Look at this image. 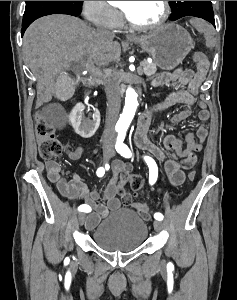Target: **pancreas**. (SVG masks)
I'll return each instance as SVG.
<instances>
[{"mask_svg":"<svg viewBox=\"0 0 237 300\" xmlns=\"http://www.w3.org/2000/svg\"><path fill=\"white\" fill-rule=\"evenodd\" d=\"M146 68H144V73L147 75V77H151V75H155L157 69H156V63H147L145 61Z\"/></svg>","mask_w":237,"mask_h":300,"instance_id":"1","label":"pancreas"}]
</instances>
